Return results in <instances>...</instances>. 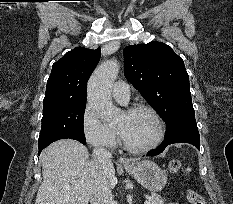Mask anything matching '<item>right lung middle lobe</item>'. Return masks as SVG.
Here are the masks:
<instances>
[{
	"label": "right lung middle lobe",
	"instance_id": "dd1d6c3e",
	"mask_svg": "<svg viewBox=\"0 0 233 204\" xmlns=\"http://www.w3.org/2000/svg\"><path fill=\"white\" fill-rule=\"evenodd\" d=\"M86 100H67L43 103L42 127L38 148L59 139L85 140L83 114Z\"/></svg>",
	"mask_w": 233,
	"mask_h": 204
}]
</instances>
